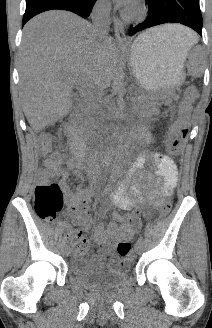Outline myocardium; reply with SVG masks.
I'll return each instance as SVG.
<instances>
[{"instance_id": "1", "label": "myocardium", "mask_w": 212, "mask_h": 328, "mask_svg": "<svg viewBox=\"0 0 212 328\" xmlns=\"http://www.w3.org/2000/svg\"><path fill=\"white\" fill-rule=\"evenodd\" d=\"M147 13V7L142 0H136L131 8L126 11L125 19L130 22L140 21Z\"/></svg>"}]
</instances>
